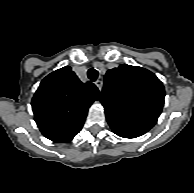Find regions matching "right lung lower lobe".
<instances>
[{
	"instance_id": "1",
	"label": "right lung lower lobe",
	"mask_w": 194,
	"mask_h": 193,
	"mask_svg": "<svg viewBox=\"0 0 194 193\" xmlns=\"http://www.w3.org/2000/svg\"><path fill=\"white\" fill-rule=\"evenodd\" d=\"M79 131H80V130H79ZM79 131H78V132H79ZM78 132H77V133H78ZM77 133H76V134H77ZM76 134H75V135H76ZM75 135H73V136L70 137V138H67V139H65V140L60 141V143H64V142L70 141Z\"/></svg>"
}]
</instances>
